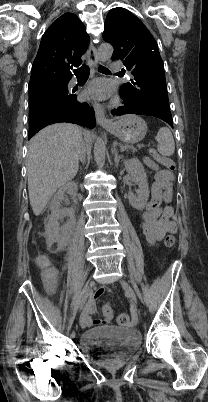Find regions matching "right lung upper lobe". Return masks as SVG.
<instances>
[{"mask_svg":"<svg viewBox=\"0 0 208 402\" xmlns=\"http://www.w3.org/2000/svg\"><path fill=\"white\" fill-rule=\"evenodd\" d=\"M88 44L89 35L81 20L73 13L63 14L42 36L29 87L50 80H70V69L81 65V56ZM29 90L33 91L32 88Z\"/></svg>","mask_w":208,"mask_h":402,"instance_id":"right-lung-upper-lobe-1","label":"right lung upper lobe"}]
</instances>
